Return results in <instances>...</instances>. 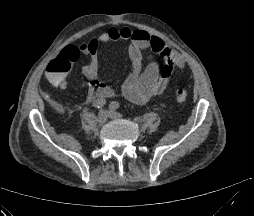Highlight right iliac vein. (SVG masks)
<instances>
[{
	"instance_id": "obj_1",
	"label": "right iliac vein",
	"mask_w": 254,
	"mask_h": 216,
	"mask_svg": "<svg viewBox=\"0 0 254 216\" xmlns=\"http://www.w3.org/2000/svg\"><path fill=\"white\" fill-rule=\"evenodd\" d=\"M108 118V114L105 110H101L98 115H97V122L102 125L104 123H106Z\"/></svg>"
}]
</instances>
